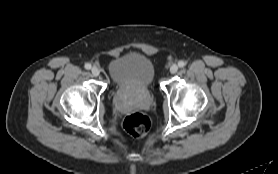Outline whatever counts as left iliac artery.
I'll return each mask as SVG.
<instances>
[{
  "mask_svg": "<svg viewBox=\"0 0 278 174\" xmlns=\"http://www.w3.org/2000/svg\"><path fill=\"white\" fill-rule=\"evenodd\" d=\"M178 66L183 68L185 66V62L184 61H179Z\"/></svg>",
  "mask_w": 278,
  "mask_h": 174,
  "instance_id": "left-iliac-artery-1",
  "label": "left iliac artery"
}]
</instances>
